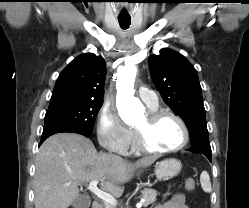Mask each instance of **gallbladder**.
<instances>
[{"mask_svg": "<svg viewBox=\"0 0 249 208\" xmlns=\"http://www.w3.org/2000/svg\"><path fill=\"white\" fill-rule=\"evenodd\" d=\"M90 199L86 195H79L72 203L73 208H89Z\"/></svg>", "mask_w": 249, "mask_h": 208, "instance_id": "1", "label": "gallbladder"}]
</instances>
